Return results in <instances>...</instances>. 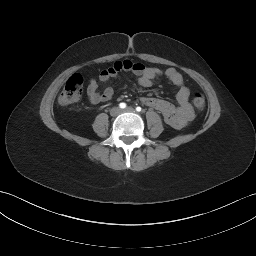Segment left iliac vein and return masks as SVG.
I'll return each mask as SVG.
<instances>
[{"label":"left iliac vein","mask_w":256,"mask_h":256,"mask_svg":"<svg viewBox=\"0 0 256 256\" xmlns=\"http://www.w3.org/2000/svg\"><path fill=\"white\" fill-rule=\"evenodd\" d=\"M122 112H135V109L132 107H127L126 109H124Z\"/></svg>","instance_id":"obj_1"}]
</instances>
